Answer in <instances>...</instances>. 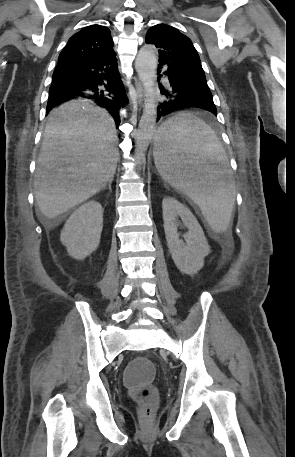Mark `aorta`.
I'll return each instance as SVG.
<instances>
[{
  "label": "aorta",
  "instance_id": "1",
  "mask_svg": "<svg viewBox=\"0 0 295 457\" xmlns=\"http://www.w3.org/2000/svg\"><path fill=\"white\" fill-rule=\"evenodd\" d=\"M135 68L144 86L146 96L143 114L136 133L135 159L137 163H140L156 131L157 104L154 86L157 58L151 45H145L139 50Z\"/></svg>",
  "mask_w": 295,
  "mask_h": 457
}]
</instances>
